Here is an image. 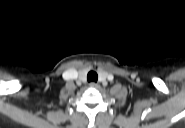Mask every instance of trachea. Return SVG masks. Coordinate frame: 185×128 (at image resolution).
I'll return each instance as SVG.
<instances>
[{"label": "trachea", "mask_w": 185, "mask_h": 128, "mask_svg": "<svg viewBox=\"0 0 185 128\" xmlns=\"http://www.w3.org/2000/svg\"><path fill=\"white\" fill-rule=\"evenodd\" d=\"M88 82H97L98 74L95 71H90L87 75Z\"/></svg>", "instance_id": "1"}]
</instances>
